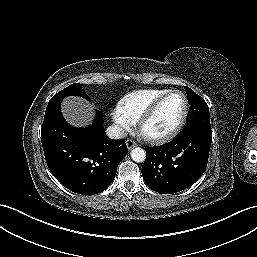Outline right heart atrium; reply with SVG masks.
I'll return each mask as SVG.
<instances>
[{
    "label": "right heart atrium",
    "mask_w": 257,
    "mask_h": 257,
    "mask_svg": "<svg viewBox=\"0 0 257 257\" xmlns=\"http://www.w3.org/2000/svg\"><path fill=\"white\" fill-rule=\"evenodd\" d=\"M111 116L120 134L127 133L133 127L134 122L127 116L119 105L112 110Z\"/></svg>",
    "instance_id": "d8ad5b80"
}]
</instances>
